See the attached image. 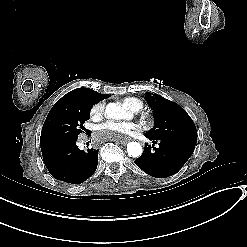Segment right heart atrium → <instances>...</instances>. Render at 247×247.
Listing matches in <instances>:
<instances>
[{"instance_id":"1","label":"right heart atrium","mask_w":247,"mask_h":247,"mask_svg":"<svg viewBox=\"0 0 247 247\" xmlns=\"http://www.w3.org/2000/svg\"><path fill=\"white\" fill-rule=\"evenodd\" d=\"M104 113V104L102 102H98L94 104L90 111V116L93 120H98L103 116Z\"/></svg>"}]
</instances>
